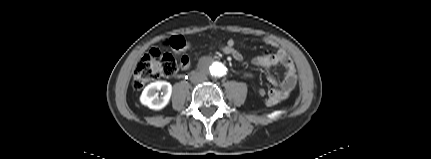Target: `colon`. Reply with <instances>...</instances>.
<instances>
[{"instance_id": "obj_1", "label": "colon", "mask_w": 431, "mask_h": 159, "mask_svg": "<svg viewBox=\"0 0 431 159\" xmlns=\"http://www.w3.org/2000/svg\"><path fill=\"white\" fill-rule=\"evenodd\" d=\"M168 45L174 51L181 52L186 49L187 42L182 36H174L168 40ZM234 52V47H231L228 52L222 51L228 55H232ZM177 70L178 61L173 53L157 48L152 49L137 63L133 72L132 87L135 90H141L152 81L172 77ZM257 93L260 96L265 95L262 88Z\"/></svg>"}]
</instances>
